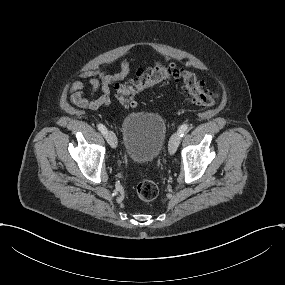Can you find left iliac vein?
I'll use <instances>...</instances> for the list:
<instances>
[{
    "instance_id": "left-iliac-vein-1",
    "label": "left iliac vein",
    "mask_w": 285,
    "mask_h": 285,
    "mask_svg": "<svg viewBox=\"0 0 285 285\" xmlns=\"http://www.w3.org/2000/svg\"><path fill=\"white\" fill-rule=\"evenodd\" d=\"M180 144V136L178 133L172 135L169 141V154L173 155Z\"/></svg>"
}]
</instances>
